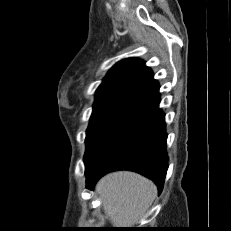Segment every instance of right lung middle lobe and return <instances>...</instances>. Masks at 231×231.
<instances>
[{
  "mask_svg": "<svg viewBox=\"0 0 231 231\" xmlns=\"http://www.w3.org/2000/svg\"><path fill=\"white\" fill-rule=\"evenodd\" d=\"M151 107L129 97L96 100L86 136L85 164L116 132Z\"/></svg>",
  "mask_w": 231,
  "mask_h": 231,
  "instance_id": "obj_1",
  "label": "right lung middle lobe"
}]
</instances>
